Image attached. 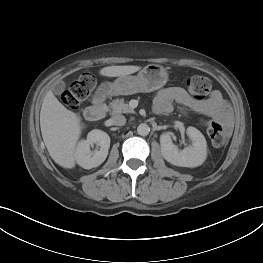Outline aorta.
<instances>
[{
    "mask_svg": "<svg viewBox=\"0 0 263 263\" xmlns=\"http://www.w3.org/2000/svg\"><path fill=\"white\" fill-rule=\"evenodd\" d=\"M137 132L141 136H147L150 132V127L146 123H141L137 127Z\"/></svg>",
    "mask_w": 263,
    "mask_h": 263,
    "instance_id": "aorta-1",
    "label": "aorta"
}]
</instances>
